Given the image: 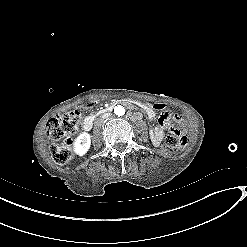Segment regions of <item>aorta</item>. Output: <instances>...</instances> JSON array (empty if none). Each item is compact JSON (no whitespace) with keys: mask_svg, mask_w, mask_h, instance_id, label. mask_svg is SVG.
Wrapping results in <instances>:
<instances>
[{"mask_svg":"<svg viewBox=\"0 0 247 247\" xmlns=\"http://www.w3.org/2000/svg\"><path fill=\"white\" fill-rule=\"evenodd\" d=\"M114 113L117 116H122V115L125 114V108L123 106H121V105H117L114 108Z\"/></svg>","mask_w":247,"mask_h":247,"instance_id":"aorta-1","label":"aorta"}]
</instances>
